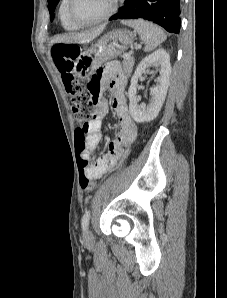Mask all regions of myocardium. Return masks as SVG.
<instances>
[{"label":"myocardium","mask_w":227,"mask_h":298,"mask_svg":"<svg viewBox=\"0 0 227 298\" xmlns=\"http://www.w3.org/2000/svg\"><path fill=\"white\" fill-rule=\"evenodd\" d=\"M72 3H73V0H67V7H66L67 16L73 24L79 27H84V26H91V25L102 23L107 19H109L111 16H113L118 9L119 0H111L109 9L102 16L90 21H80L77 18H75L72 13Z\"/></svg>","instance_id":"1"}]
</instances>
